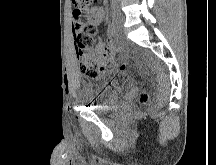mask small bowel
<instances>
[{"instance_id":"1","label":"small bowel","mask_w":216,"mask_h":165,"mask_svg":"<svg viewBox=\"0 0 216 165\" xmlns=\"http://www.w3.org/2000/svg\"><path fill=\"white\" fill-rule=\"evenodd\" d=\"M75 12L73 13V22H72V35L75 39L76 35L81 31L83 27V23L80 19V8H75ZM105 16V11L99 7L91 8L87 13L86 25L98 26L103 22ZM94 49L100 53H104L107 51L103 41L99 38L96 39ZM87 95L88 90L86 91Z\"/></svg>"}]
</instances>
